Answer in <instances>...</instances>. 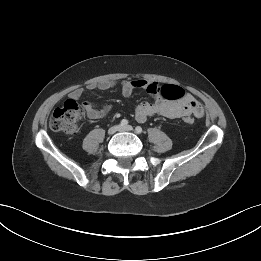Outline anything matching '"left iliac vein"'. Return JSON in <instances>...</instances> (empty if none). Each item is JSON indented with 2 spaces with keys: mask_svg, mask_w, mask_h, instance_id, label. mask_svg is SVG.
Here are the masks:
<instances>
[{
  "mask_svg": "<svg viewBox=\"0 0 261 261\" xmlns=\"http://www.w3.org/2000/svg\"><path fill=\"white\" fill-rule=\"evenodd\" d=\"M133 127L128 125L120 128V131H132Z\"/></svg>",
  "mask_w": 261,
  "mask_h": 261,
  "instance_id": "1",
  "label": "left iliac vein"
}]
</instances>
